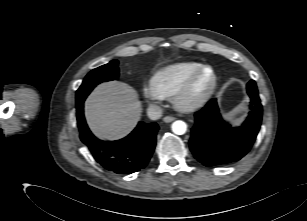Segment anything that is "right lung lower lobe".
Masks as SVG:
<instances>
[{
	"mask_svg": "<svg viewBox=\"0 0 307 221\" xmlns=\"http://www.w3.org/2000/svg\"><path fill=\"white\" fill-rule=\"evenodd\" d=\"M77 123L81 141L95 160L106 170L117 174H131L144 168L154 152L158 125L139 122L127 137L117 141H102L89 130L83 103L77 105Z\"/></svg>",
	"mask_w": 307,
	"mask_h": 221,
	"instance_id": "1",
	"label": "right lung lower lobe"
}]
</instances>
